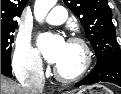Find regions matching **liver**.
Returning a JSON list of instances; mask_svg holds the SVG:
<instances>
[{
  "instance_id": "obj_1",
  "label": "liver",
  "mask_w": 121,
  "mask_h": 94,
  "mask_svg": "<svg viewBox=\"0 0 121 94\" xmlns=\"http://www.w3.org/2000/svg\"><path fill=\"white\" fill-rule=\"evenodd\" d=\"M1 94H25V91L19 84L1 75ZM65 94H72V92Z\"/></svg>"
}]
</instances>
